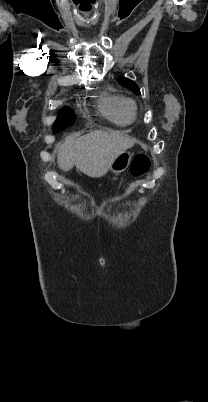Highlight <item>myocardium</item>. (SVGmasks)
<instances>
[{"label":"myocardium","instance_id":"1","mask_svg":"<svg viewBox=\"0 0 208 402\" xmlns=\"http://www.w3.org/2000/svg\"><path fill=\"white\" fill-rule=\"evenodd\" d=\"M124 105H125V108H126V110L130 113V114H132V115H134V116H136L137 115V104H136V102L133 100V99H131V98H124Z\"/></svg>","mask_w":208,"mask_h":402}]
</instances>
